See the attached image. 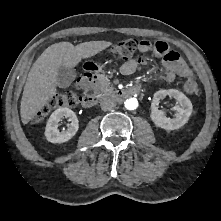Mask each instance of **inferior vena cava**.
Masks as SVG:
<instances>
[{"label": "inferior vena cava", "mask_w": 221, "mask_h": 221, "mask_svg": "<svg viewBox=\"0 0 221 221\" xmlns=\"http://www.w3.org/2000/svg\"><path fill=\"white\" fill-rule=\"evenodd\" d=\"M100 106L103 111H109L116 107V102L111 97H103Z\"/></svg>", "instance_id": "602c4592"}]
</instances>
